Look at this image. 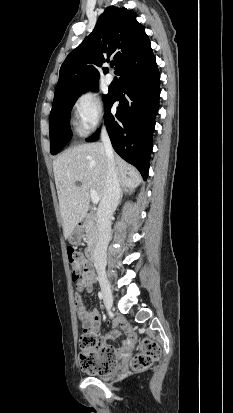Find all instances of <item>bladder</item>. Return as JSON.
Listing matches in <instances>:
<instances>
[{
  "label": "bladder",
  "instance_id": "31cf9c89",
  "mask_svg": "<svg viewBox=\"0 0 233 413\" xmlns=\"http://www.w3.org/2000/svg\"><path fill=\"white\" fill-rule=\"evenodd\" d=\"M112 374V372L106 373V374H94V377L96 378H100V379H106L108 377H110Z\"/></svg>",
  "mask_w": 233,
  "mask_h": 413
}]
</instances>
